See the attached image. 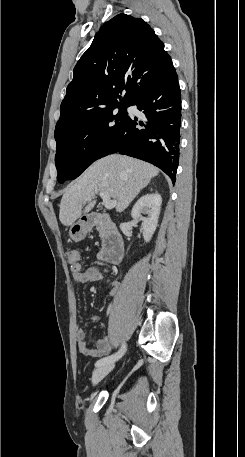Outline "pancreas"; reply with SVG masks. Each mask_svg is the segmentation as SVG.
Here are the masks:
<instances>
[{
	"mask_svg": "<svg viewBox=\"0 0 245 457\" xmlns=\"http://www.w3.org/2000/svg\"><path fill=\"white\" fill-rule=\"evenodd\" d=\"M96 229H97V231L99 233V237H101V241H102V239H104V235H105V229H104L103 224H97Z\"/></svg>",
	"mask_w": 245,
	"mask_h": 457,
	"instance_id": "cf45deb5",
	"label": "pancreas"
}]
</instances>
